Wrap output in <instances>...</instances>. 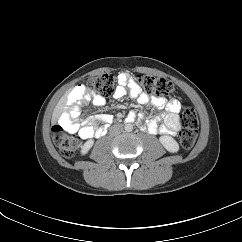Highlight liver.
Masks as SVG:
<instances>
[{"label":"liver","instance_id":"liver-1","mask_svg":"<svg viewBox=\"0 0 242 242\" xmlns=\"http://www.w3.org/2000/svg\"><path fill=\"white\" fill-rule=\"evenodd\" d=\"M61 113V110L59 107L55 109L54 115H53V120L56 121Z\"/></svg>","mask_w":242,"mask_h":242}]
</instances>
